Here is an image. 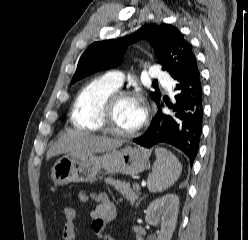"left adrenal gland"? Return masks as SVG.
I'll use <instances>...</instances> for the list:
<instances>
[{
	"label": "left adrenal gland",
	"instance_id": "left-adrenal-gland-1",
	"mask_svg": "<svg viewBox=\"0 0 248 240\" xmlns=\"http://www.w3.org/2000/svg\"><path fill=\"white\" fill-rule=\"evenodd\" d=\"M145 197V196H144ZM144 197L140 198L139 201L136 203V207L140 204V202L144 199Z\"/></svg>",
	"mask_w": 248,
	"mask_h": 240
}]
</instances>
